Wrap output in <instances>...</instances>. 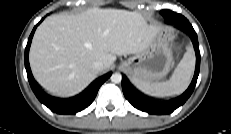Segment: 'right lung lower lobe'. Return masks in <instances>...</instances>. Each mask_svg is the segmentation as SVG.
Instances as JSON below:
<instances>
[{"label": "right lung lower lobe", "mask_w": 231, "mask_h": 134, "mask_svg": "<svg viewBox=\"0 0 231 134\" xmlns=\"http://www.w3.org/2000/svg\"><path fill=\"white\" fill-rule=\"evenodd\" d=\"M43 19L34 27L25 49V68L27 71L29 84L40 102L46 105L51 111L58 114H75L85 109L93 102L100 86L111 76L112 72H109L98 78L84 92L72 98H55L43 92L38 84L35 82L29 65V48L31 45V41L36 27L43 21Z\"/></svg>", "instance_id": "98d812e1"}]
</instances>
